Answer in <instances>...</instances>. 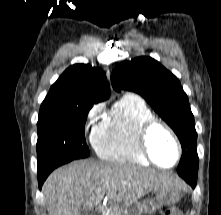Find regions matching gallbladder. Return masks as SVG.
Returning <instances> with one entry per match:
<instances>
[{
    "mask_svg": "<svg viewBox=\"0 0 221 215\" xmlns=\"http://www.w3.org/2000/svg\"><path fill=\"white\" fill-rule=\"evenodd\" d=\"M80 215H92V210L88 208H83Z\"/></svg>",
    "mask_w": 221,
    "mask_h": 215,
    "instance_id": "bac80fb5",
    "label": "gallbladder"
}]
</instances>
